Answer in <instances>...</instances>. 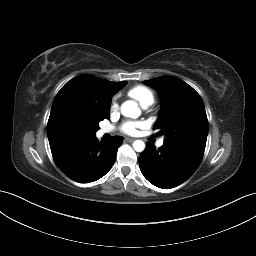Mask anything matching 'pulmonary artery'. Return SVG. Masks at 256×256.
<instances>
[{"instance_id": "1", "label": "pulmonary artery", "mask_w": 256, "mask_h": 256, "mask_svg": "<svg viewBox=\"0 0 256 256\" xmlns=\"http://www.w3.org/2000/svg\"><path fill=\"white\" fill-rule=\"evenodd\" d=\"M110 131H111V128H109V127H104V128H102V129L100 130V134L108 133V132H110ZM163 144H164V140H163V139H160V140L157 142V146H158V147L163 146Z\"/></svg>"}]
</instances>
